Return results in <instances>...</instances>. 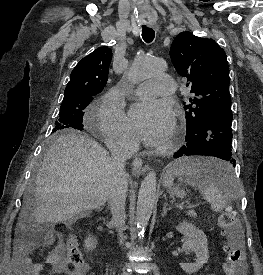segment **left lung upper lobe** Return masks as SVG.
I'll return each mask as SVG.
<instances>
[{
  "label": "left lung upper lobe",
  "instance_id": "left-lung-upper-lobe-1",
  "mask_svg": "<svg viewBox=\"0 0 263 275\" xmlns=\"http://www.w3.org/2000/svg\"><path fill=\"white\" fill-rule=\"evenodd\" d=\"M170 57L197 96L184 103L187 131L200 127L218 109L231 107L227 56L214 40L182 32L171 45Z\"/></svg>",
  "mask_w": 263,
  "mask_h": 275
}]
</instances>
